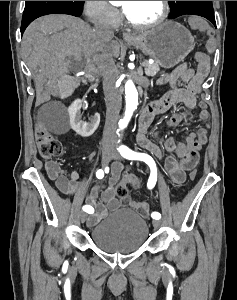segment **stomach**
I'll list each match as a JSON object with an SVG mask.
<instances>
[{"mask_svg":"<svg viewBox=\"0 0 237 300\" xmlns=\"http://www.w3.org/2000/svg\"><path fill=\"white\" fill-rule=\"evenodd\" d=\"M134 37L128 43L153 57L164 69H171L181 63L195 47V37L175 21H165L146 31H139L134 33Z\"/></svg>","mask_w":237,"mask_h":300,"instance_id":"0dacf381","label":"stomach"}]
</instances>
